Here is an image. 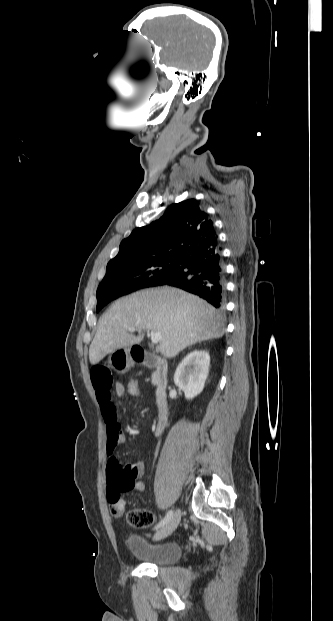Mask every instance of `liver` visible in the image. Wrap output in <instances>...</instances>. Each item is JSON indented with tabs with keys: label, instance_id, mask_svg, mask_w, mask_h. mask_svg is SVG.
Returning <instances> with one entry per match:
<instances>
[{
	"label": "liver",
	"instance_id": "1",
	"mask_svg": "<svg viewBox=\"0 0 333 621\" xmlns=\"http://www.w3.org/2000/svg\"><path fill=\"white\" fill-rule=\"evenodd\" d=\"M223 321L211 305L182 290L167 286L141 290L117 300L103 314L89 359L95 365L117 349L140 343L145 330L160 332L159 350L164 357L173 358L190 345L222 337ZM130 327L139 335L128 333Z\"/></svg>",
	"mask_w": 333,
	"mask_h": 621
}]
</instances>
